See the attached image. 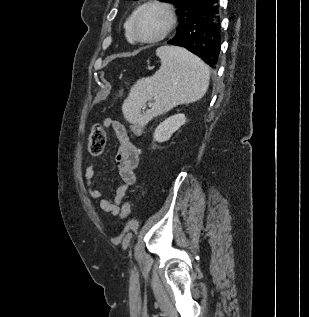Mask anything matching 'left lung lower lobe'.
Returning <instances> with one entry per match:
<instances>
[{
	"instance_id": "left-lung-lower-lobe-1",
	"label": "left lung lower lobe",
	"mask_w": 309,
	"mask_h": 317,
	"mask_svg": "<svg viewBox=\"0 0 309 317\" xmlns=\"http://www.w3.org/2000/svg\"><path fill=\"white\" fill-rule=\"evenodd\" d=\"M167 43L188 49L215 68L221 47L219 0H207L197 8Z\"/></svg>"
}]
</instances>
